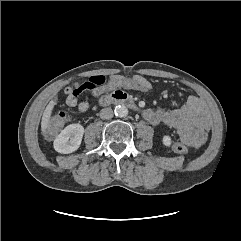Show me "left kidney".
<instances>
[{
	"label": "left kidney",
	"instance_id": "5707ae66",
	"mask_svg": "<svg viewBox=\"0 0 241 241\" xmlns=\"http://www.w3.org/2000/svg\"><path fill=\"white\" fill-rule=\"evenodd\" d=\"M162 142L165 146L169 147L172 143L171 137L169 135H164Z\"/></svg>",
	"mask_w": 241,
	"mask_h": 241
}]
</instances>
